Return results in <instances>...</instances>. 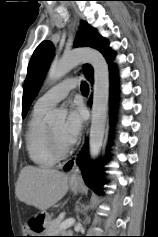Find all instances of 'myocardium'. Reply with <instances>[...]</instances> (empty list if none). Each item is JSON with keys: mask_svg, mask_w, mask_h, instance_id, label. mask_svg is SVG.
<instances>
[{"mask_svg": "<svg viewBox=\"0 0 158 237\" xmlns=\"http://www.w3.org/2000/svg\"><path fill=\"white\" fill-rule=\"evenodd\" d=\"M46 140H47L49 150H50L52 156L56 160L64 159L71 153V148L70 147L66 148V149H61L57 145V143H56V141L53 137V134L50 130V127H47V130H46Z\"/></svg>", "mask_w": 158, "mask_h": 237, "instance_id": "obj_1", "label": "myocardium"}]
</instances>
